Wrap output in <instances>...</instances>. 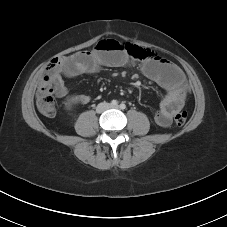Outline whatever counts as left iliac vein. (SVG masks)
Returning a JSON list of instances; mask_svg holds the SVG:
<instances>
[{
	"label": "left iliac vein",
	"instance_id": "left-iliac-vein-1",
	"mask_svg": "<svg viewBox=\"0 0 227 227\" xmlns=\"http://www.w3.org/2000/svg\"><path fill=\"white\" fill-rule=\"evenodd\" d=\"M111 108H115V109H117V108H119V106H111Z\"/></svg>",
	"mask_w": 227,
	"mask_h": 227
}]
</instances>
